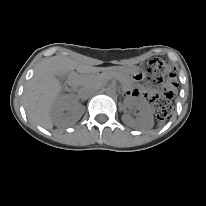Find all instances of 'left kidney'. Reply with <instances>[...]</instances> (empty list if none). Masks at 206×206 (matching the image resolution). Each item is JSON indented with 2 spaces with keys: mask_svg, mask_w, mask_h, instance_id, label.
I'll return each instance as SVG.
<instances>
[{
  "mask_svg": "<svg viewBox=\"0 0 206 206\" xmlns=\"http://www.w3.org/2000/svg\"><path fill=\"white\" fill-rule=\"evenodd\" d=\"M129 107L138 109V117L133 119L129 115H124V121L132 126L139 128H151L153 125V116L151 107L145 99L133 98L127 102Z\"/></svg>",
  "mask_w": 206,
  "mask_h": 206,
  "instance_id": "5707ae66",
  "label": "left kidney"
}]
</instances>
